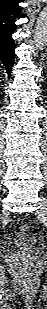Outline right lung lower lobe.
<instances>
[{"label":"right lung lower lobe","mask_w":47,"mask_h":309,"mask_svg":"<svg viewBox=\"0 0 47 309\" xmlns=\"http://www.w3.org/2000/svg\"><path fill=\"white\" fill-rule=\"evenodd\" d=\"M23 0H0V61L6 67L8 76L15 60V41L12 34L16 30L15 20L20 14L19 3Z\"/></svg>","instance_id":"obj_1"}]
</instances>
